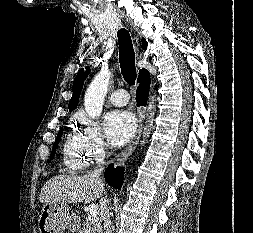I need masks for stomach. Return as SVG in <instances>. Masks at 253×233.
Returning a JSON list of instances; mask_svg holds the SVG:
<instances>
[{
    "instance_id": "obj_1",
    "label": "stomach",
    "mask_w": 253,
    "mask_h": 233,
    "mask_svg": "<svg viewBox=\"0 0 253 233\" xmlns=\"http://www.w3.org/2000/svg\"><path fill=\"white\" fill-rule=\"evenodd\" d=\"M74 216L66 204L47 202L43 205L38 228L40 233H64L73 226Z\"/></svg>"
}]
</instances>
